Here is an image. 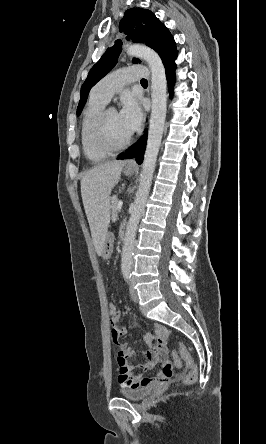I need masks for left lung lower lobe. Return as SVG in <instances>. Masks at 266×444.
I'll list each match as a JSON object with an SVG mask.
<instances>
[{
  "label": "left lung lower lobe",
  "instance_id": "left-lung-lower-lobe-1",
  "mask_svg": "<svg viewBox=\"0 0 266 444\" xmlns=\"http://www.w3.org/2000/svg\"><path fill=\"white\" fill-rule=\"evenodd\" d=\"M175 59H176V57L167 61L164 64L165 69H166L169 90H170L171 94L173 93L172 87L174 85V80H175V76H174L175 68H176ZM146 139H147V133L145 132L144 136L136 144H134L133 147L128 152H126L124 154H120L118 156V159H130V158L136 157L137 162L139 164H141L143 161Z\"/></svg>",
  "mask_w": 266,
  "mask_h": 444
}]
</instances>
